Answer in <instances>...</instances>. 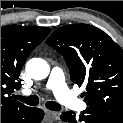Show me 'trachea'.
Returning <instances> with one entry per match:
<instances>
[{
    "label": "trachea",
    "instance_id": "1",
    "mask_svg": "<svg viewBox=\"0 0 123 123\" xmlns=\"http://www.w3.org/2000/svg\"><path fill=\"white\" fill-rule=\"evenodd\" d=\"M14 98L30 106H37L39 104V97L36 95H31L28 97L21 96V95H14ZM45 106L52 111L61 110V106L57 102L47 101L45 103Z\"/></svg>",
    "mask_w": 123,
    "mask_h": 123
}]
</instances>
